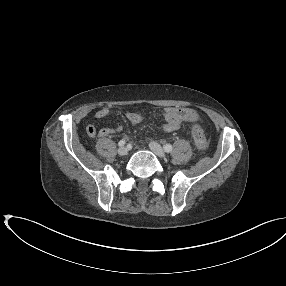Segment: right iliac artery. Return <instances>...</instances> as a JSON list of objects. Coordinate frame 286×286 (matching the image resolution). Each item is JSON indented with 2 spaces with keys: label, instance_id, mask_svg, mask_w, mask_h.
Here are the masks:
<instances>
[{
  "label": "right iliac artery",
  "instance_id": "1",
  "mask_svg": "<svg viewBox=\"0 0 286 286\" xmlns=\"http://www.w3.org/2000/svg\"><path fill=\"white\" fill-rule=\"evenodd\" d=\"M126 144V141L124 139L120 140L118 145L119 146H124Z\"/></svg>",
  "mask_w": 286,
  "mask_h": 286
}]
</instances>
